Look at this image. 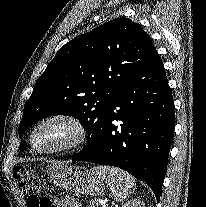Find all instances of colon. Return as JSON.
Listing matches in <instances>:
<instances>
[{
  "instance_id": "colon-1",
  "label": "colon",
  "mask_w": 206,
  "mask_h": 207,
  "mask_svg": "<svg viewBox=\"0 0 206 207\" xmlns=\"http://www.w3.org/2000/svg\"><path fill=\"white\" fill-rule=\"evenodd\" d=\"M14 177L19 182L23 193L27 195L29 207H53L49 198L38 194L40 180L34 173L24 167H16L14 169Z\"/></svg>"
}]
</instances>
